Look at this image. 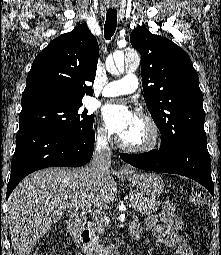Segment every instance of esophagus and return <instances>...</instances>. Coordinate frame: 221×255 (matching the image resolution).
<instances>
[{
	"mask_svg": "<svg viewBox=\"0 0 221 255\" xmlns=\"http://www.w3.org/2000/svg\"><path fill=\"white\" fill-rule=\"evenodd\" d=\"M122 170L123 171H129L130 168L128 166H126V165H122Z\"/></svg>",
	"mask_w": 221,
	"mask_h": 255,
	"instance_id": "obj_1",
	"label": "esophagus"
}]
</instances>
